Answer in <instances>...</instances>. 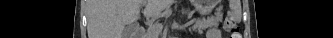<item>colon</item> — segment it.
Returning a JSON list of instances; mask_svg holds the SVG:
<instances>
[{"label": "colon", "instance_id": "obj_1", "mask_svg": "<svg viewBox=\"0 0 333 38\" xmlns=\"http://www.w3.org/2000/svg\"><path fill=\"white\" fill-rule=\"evenodd\" d=\"M224 28L228 32L229 38H241L240 28L238 23L233 18H226Z\"/></svg>", "mask_w": 333, "mask_h": 38}]
</instances>
